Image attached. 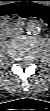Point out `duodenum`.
<instances>
[{"instance_id": "1", "label": "duodenum", "mask_w": 50, "mask_h": 111, "mask_svg": "<svg viewBox=\"0 0 50 111\" xmlns=\"http://www.w3.org/2000/svg\"><path fill=\"white\" fill-rule=\"evenodd\" d=\"M22 26V24H17L16 26L14 27H4L1 31V36L3 38L7 37L14 29L16 28H20Z\"/></svg>"}]
</instances>
